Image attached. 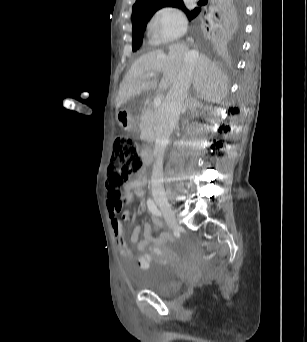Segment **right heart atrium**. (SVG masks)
<instances>
[{"instance_id": "right-heart-atrium-1", "label": "right heart atrium", "mask_w": 307, "mask_h": 342, "mask_svg": "<svg viewBox=\"0 0 307 342\" xmlns=\"http://www.w3.org/2000/svg\"><path fill=\"white\" fill-rule=\"evenodd\" d=\"M186 32L184 16L173 8L157 10L144 26V36L156 45L171 44Z\"/></svg>"}]
</instances>
